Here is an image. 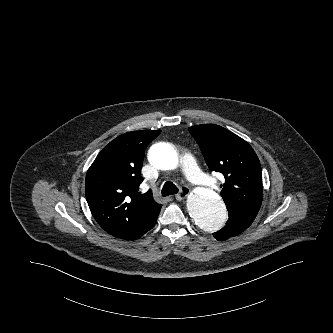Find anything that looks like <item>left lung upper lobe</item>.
Listing matches in <instances>:
<instances>
[{
    "label": "left lung upper lobe",
    "instance_id": "left-lung-upper-lobe-1",
    "mask_svg": "<svg viewBox=\"0 0 333 333\" xmlns=\"http://www.w3.org/2000/svg\"><path fill=\"white\" fill-rule=\"evenodd\" d=\"M211 171L225 177L221 196L229 215L254 221L263 199L262 170L252 147L229 130L203 124L189 128Z\"/></svg>",
    "mask_w": 333,
    "mask_h": 333
}]
</instances>
